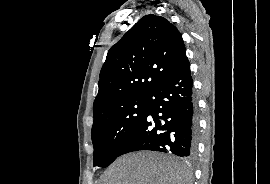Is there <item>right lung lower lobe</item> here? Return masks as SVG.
I'll return each instance as SVG.
<instances>
[{
	"label": "right lung lower lobe",
	"instance_id": "obj_1",
	"mask_svg": "<svg viewBox=\"0 0 270 184\" xmlns=\"http://www.w3.org/2000/svg\"><path fill=\"white\" fill-rule=\"evenodd\" d=\"M192 90L190 64L185 59L148 94L147 114L119 156L138 150L194 156L197 122Z\"/></svg>",
	"mask_w": 270,
	"mask_h": 184
}]
</instances>
